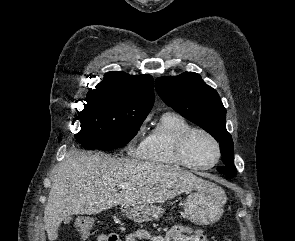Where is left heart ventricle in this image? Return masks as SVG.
<instances>
[{"instance_id":"obj_1","label":"left heart ventricle","mask_w":295,"mask_h":241,"mask_svg":"<svg viewBox=\"0 0 295 241\" xmlns=\"http://www.w3.org/2000/svg\"><path fill=\"white\" fill-rule=\"evenodd\" d=\"M187 157L196 165L208 166L217 157V150L214 143L204 134L196 133L190 139L187 146Z\"/></svg>"}]
</instances>
